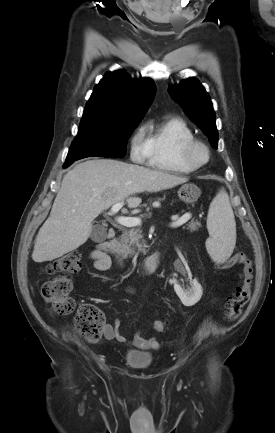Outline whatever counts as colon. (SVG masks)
Returning a JSON list of instances; mask_svg holds the SVG:
<instances>
[{
	"instance_id": "5ec220e1",
	"label": "colon",
	"mask_w": 275,
	"mask_h": 433,
	"mask_svg": "<svg viewBox=\"0 0 275 433\" xmlns=\"http://www.w3.org/2000/svg\"><path fill=\"white\" fill-rule=\"evenodd\" d=\"M229 264L241 265L240 281L225 305V318L236 321L250 300L253 266L244 252H238ZM82 268L81 254L72 251L57 258L45 268V272L54 275L45 281L41 288L43 299L49 303L55 314L67 316L76 309V302L71 296L72 277ZM76 326L80 335L89 343L98 341L102 335L104 323L103 312L92 303H82L78 306L75 316ZM168 324L163 320L153 322V329L163 332Z\"/></svg>"
}]
</instances>
